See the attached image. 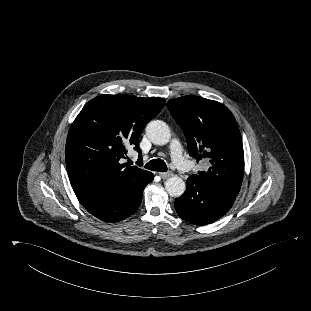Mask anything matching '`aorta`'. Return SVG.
Listing matches in <instances>:
<instances>
[{
  "label": "aorta",
  "instance_id": "obj_1",
  "mask_svg": "<svg viewBox=\"0 0 311 311\" xmlns=\"http://www.w3.org/2000/svg\"><path fill=\"white\" fill-rule=\"evenodd\" d=\"M146 135L157 145H165L171 138L168 125L161 120H153L146 126ZM165 189L171 197H180L186 189V184L180 177H170L165 182Z\"/></svg>",
  "mask_w": 311,
  "mask_h": 311
}]
</instances>
